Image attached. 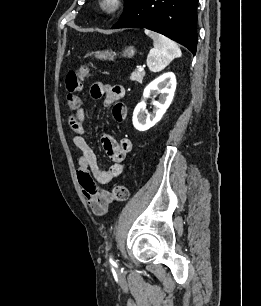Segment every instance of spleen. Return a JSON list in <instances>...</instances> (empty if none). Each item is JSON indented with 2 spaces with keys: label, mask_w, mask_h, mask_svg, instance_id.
Masks as SVG:
<instances>
[{
  "label": "spleen",
  "mask_w": 261,
  "mask_h": 306,
  "mask_svg": "<svg viewBox=\"0 0 261 306\" xmlns=\"http://www.w3.org/2000/svg\"><path fill=\"white\" fill-rule=\"evenodd\" d=\"M145 34L153 39L154 48L147 56V65L152 72L163 70L169 63L182 55L178 45L157 32L145 29Z\"/></svg>",
  "instance_id": "3e777b00"
}]
</instances>
